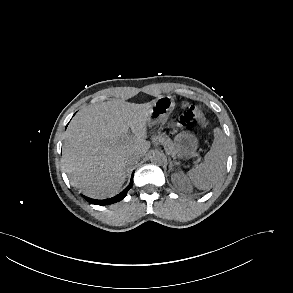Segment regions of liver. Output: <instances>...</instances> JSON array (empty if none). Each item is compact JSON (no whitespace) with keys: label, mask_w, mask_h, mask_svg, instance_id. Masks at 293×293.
<instances>
[{"label":"liver","mask_w":293,"mask_h":293,"mask_svg":"<svg viewBox=\"0 0 293 293\" xmlns=\"http://www.w3.org/2000/svg\"><path fill=\"white\" fill-rule=\"evenodd\" d=\"M156 100L135 104L110 100L81 109L71 120L62 147L69 179L79 191L97 198L115 195L125 182L126 156H144L151 143L147 120ZM129 128L134 138L123 137Z\"/></svg>","instance_id":"6515ba94"}]
</instances>
